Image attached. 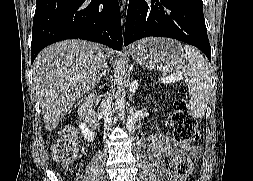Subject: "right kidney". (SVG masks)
Segmentation results:
<instances>
[{
	"instance_id": "ca27d5eb",
	"label": "right kidney",
	"mask_w": 253,
	"mask_h": 181,
	"mask_svg": "<svg viewBox=\"0 0 253 181\" xmlns=\"http://www.w3.org/2000/svg\"><path fill=\"white\" fill-rule=\"evenodd\" d=\"M78 129H79V132L81 133V135L84 137V139L87 141V142H93L94 141V132L90 131V129L88 128V126L83 123V122H80L78 124Z\"/></svg>"
}]
</instances>
